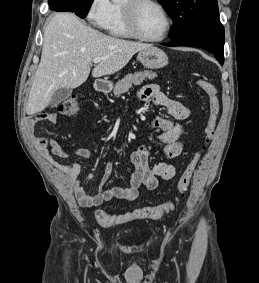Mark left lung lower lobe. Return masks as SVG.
Returning <instances> with one entry per match:
<instances>
[{"mask_svg": "<svg viewBox=\"0 0 259 283\" xmlns=\"http://www.w3.org/2000/svg\"><path fill=\"white\" fill-rule=\"evenodd\" d=\"M165 46H194L203 48L215 55L221 65L224 62V27L220 23L219 25L200 32L193 36L172 41V43L164 44Z\"/></svg>", "mask_w": 259, "mask_h": 283, "instance_id": "1", "label": "left lung lower lobe"}]
</instances>
